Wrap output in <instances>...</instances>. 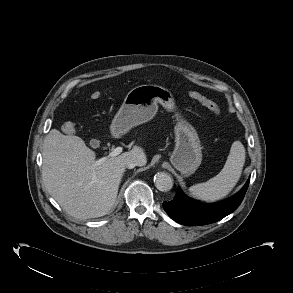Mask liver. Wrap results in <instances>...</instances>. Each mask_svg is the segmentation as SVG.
<instances>
[{
  "instance_id": "6515ba94",
  "label": "liver",
  "mask_w": 293,
  "mask_h": 293,
  "mask_svg": "<svg viewBox=\"0 0 293 293\" xmlns=\"http://www.w3.org/2000/svg\"><path fill=\"white\" fill-rule=\"evenodd\" d=\"M42 178L49 194L70 216L77 219L101 217L115 204L128 157L147 162L142 148L104 158L97 165L96 154L77 136L52 129L42 145ZM102 159V158H101Z\"/></svg>"
}]
</instances>
